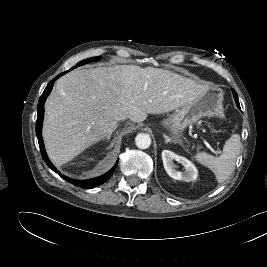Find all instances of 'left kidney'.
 <instances>
[{"label": "left kidney", "instance_id": "left-kidney-1", "mask_svg": "<svg viewBox=\"0 0 267 267\" xmlns=\"http://www.w3.org/2000/svg\"><path fill=\"white\" fill-rule=\"evenodd\" d=\"M162 160L164 168L171 178L175 180H183L185 182L196 180L198 176V171L195 165L187 158L179 156L172 151L164 150L162 152ZM174 161L181 163L184 166L185 171H177L175 169Z\"/></svg>", "mask_w": 267, "mask_h": 267}]
</instances>
